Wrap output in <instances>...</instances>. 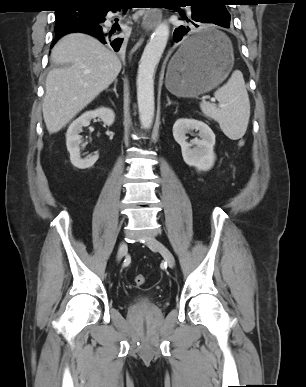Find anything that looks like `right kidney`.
<instances>
[{
	"label": "right kidney",
	"instance_id": "1",
	"mask_svg": "<svg viewBox=\"0 0 306 387\" xmlns=\"http://www.w3.org/2000/svg\"><path fill=\"white\" fill-rule=\"evenodd\" d=\"M96 117L100 118L106 125H112L115 120V114L112 109L101 107L94 111H87L83 113L79 118L71 123L67 130L66 146L68 152L70 153V161L76 168H90L99 158L96 154L82 159L79 147L82 143V137L79 135L82 132V127L89 126L90 121Z\"/></svg>",
	"mask_w": 306,
	"mask_h": 387
}]
</instances>
